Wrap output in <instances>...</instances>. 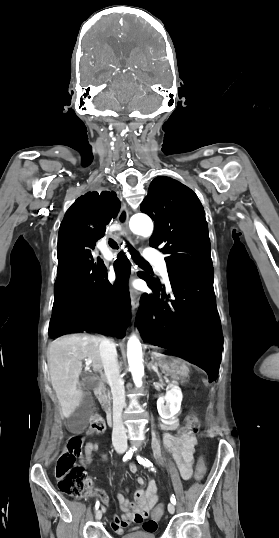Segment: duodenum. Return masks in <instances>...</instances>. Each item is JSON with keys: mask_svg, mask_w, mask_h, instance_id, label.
<instances>
[{"mask_svg": "<svg viewBox=\"0 0 279 538\" xmlns=\"http://www.w3.org/2000/svg\"><path fill=\"white\" fill-rule=\"evenodd\" d=\"M105 387H106V382L104 381H101L99 383V387H98V390L100 392H103L105 390ZM106 406H111V401H106ZM106 419H105V422L107 423V428H112V422H113V409L111 408H108L106 410Z\"/></svg>", "mask_w": 279, "mask_h": 538, "instance_id": "obj_1", "label": "duodenum"}]
</instances>
